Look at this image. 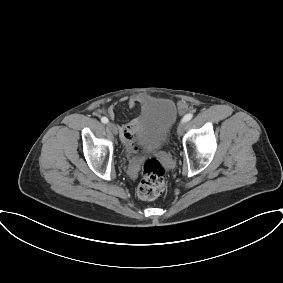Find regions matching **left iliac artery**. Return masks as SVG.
I'll use <instances>...</instances> for the list:
<instances>
[{
  "label": "left iliac artery",
  "mask_w": 283,
  "mask_h": 283,
  "mask_svg": "<svg viewBox=\"0 0 283 283\" xmlns=\"http://www.w3.org/2000/svg\"><path fill=\"white\" fill-rule=\"evenodd\" d=\"M192 117H193V114L188 113L183 117L182 122H187V121L191 120Z\"/></svg>",
  "instance_id": "1"
}]
</instances>
